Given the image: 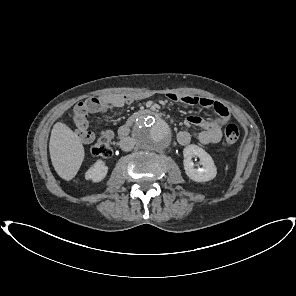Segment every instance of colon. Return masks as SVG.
Listing matches in <instances>:
<instances>
[{"label": "colon", "mask_w": 296, "mask_h": 296, "mask_svg": "<svg viewBox=\"0 0 296 296\" xmlns=\"http://www.w3.org/2000/svg\"><path fill=\"white\" fill-rule=\"evenodd\" d=\"M131 97V96H130ZM133 98V97H132ZM84 108H79L78 112H84ZM239 138V128L235 123H229L225 128V142L228 145L234 144ZM91 153L100 158H109L113 150L107 137H100L91 148Z\"/></svg>", "instance_id": "colon-1"}]
</instances>
